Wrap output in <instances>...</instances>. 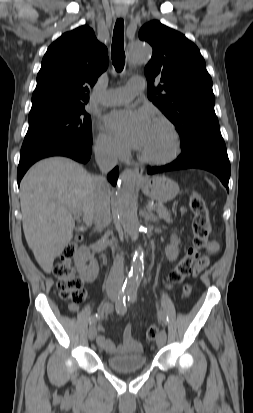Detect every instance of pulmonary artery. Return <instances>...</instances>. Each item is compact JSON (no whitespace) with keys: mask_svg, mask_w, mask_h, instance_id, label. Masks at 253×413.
<instances>
[{"mask_svg":"<svg viewBox=\"0 0 253 413\" xmlns=\"http://www.w3.org/2000/svg\"><path fill=\"white\" fill-rule=\"evenodd\" d=\"M143 88L141 81L131 80L126 87L110 89L101 97V103L105 106H115L129 102Z\"/></svg>","mask_w":253,"mask_h":413,"instance_id":"obj_1","label":"pulmonary artery"}]
</instances>
